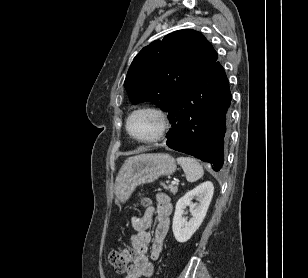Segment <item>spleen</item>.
<instances>
[{
	"instance_id": "3e777b00",
	"label": "spleen",
	"mask_w": 308,
	"mask_h": 278,
	"mask_svg": "<svg viewBox=\"0 0 308 278\" xmlns=\"http://www.w3.org/2000/svg\"><path fill=\"white\" fill-rule=\"evenodd\" d=\"M178 164L182 167L188 182H195L204 175V170L200 163L191 157L177 158Z\"/></svg>"
}]
</instances>
